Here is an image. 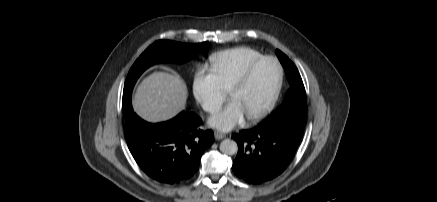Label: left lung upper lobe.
Here are the masks:
<instances>
[{
    "label": "left lung upper lobe",
    "instance_id": "obj_1",
    "mask_svg": "<svg viewBox=\"0 0 437 202\" xmlns=\"http://www.w3.org/2000/svg\"><path fill=\"white\" fill-rule=\"evenodd\" d=\"M276 54L285 69L290 88L282 105L261 124L289 121L303 127L307 113L306 92L303 81L293 62L280 50H276Z\"/></svg>",
    "mask_w": 437,
    "mask_h": 202
}]
</instances>
